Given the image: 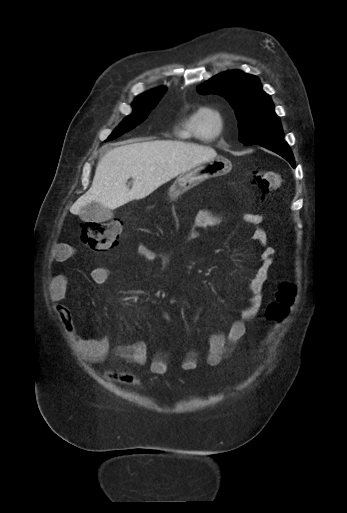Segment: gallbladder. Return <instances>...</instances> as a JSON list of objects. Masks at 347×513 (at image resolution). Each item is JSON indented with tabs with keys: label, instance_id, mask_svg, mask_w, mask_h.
Wrapping results in <instances>:
<instances>
[{
	"label": "gallbladder",
	"instance_id": "1",
	"mask_svg": "<svg viewBox=\"0 0 347 513\" xmlns=\"http://www.w3.org/2000/svg\"><path fill=\"white\" fill-rule=\"evenodd\" d=\"M112 216L113 213L110 209L96 202L84 206L79 212V217L85 222L107 221L111 219Z\"/></svg>",
	"mask_w": 347,
	"mask_h": 513
}]
</instances>
